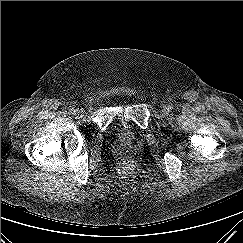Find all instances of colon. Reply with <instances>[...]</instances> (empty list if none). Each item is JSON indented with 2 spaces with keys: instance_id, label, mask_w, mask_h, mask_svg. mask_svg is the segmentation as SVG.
I'll return each mask as SVG.
<instances>
[{
  "instance_id": "5ec220e1",
  "label": "colon",
  "mask_w": 243,
  "mask_h": 243,
  "mask_svg": "<svg viewBox=\"0 0 243 243\" xmlns=\"http://www.w3.org/2000/svg\"><path fill=\"white\" fill-rule=\"evenodd\" d=\"M123 165L126 168H131L133 166V161L131 159H124L123 160Z\"/></svg>"
}]
</instances>
